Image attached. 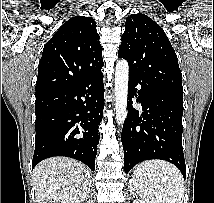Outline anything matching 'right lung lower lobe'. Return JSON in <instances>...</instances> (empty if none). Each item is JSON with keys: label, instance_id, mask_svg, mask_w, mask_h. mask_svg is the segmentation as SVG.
Listing matches in <instances>:
<instances>
[{"label": "right lung lower lobe", "instance_id": "1", "mask_svg": "<svg viewBox=\"0 0 214 203\" xmlns=\"http://www.w3.org/2000/svg\"><path fill=\"white\" fill-rule=\"evenodd\" d=\"M104 108L101 71L67 87L36 97V138L32 168L54 156L77 159L95 170Z\"/></svg>", "mask_w": 214, "mask_h": 203}]
</instances>
